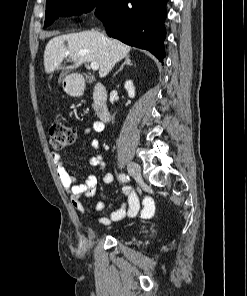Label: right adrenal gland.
<instances>
[{
    "mask_svg": "<svg viewBox=\"0 0 247 296\" xmlns=\"http://www.w3.org/2000/svg\"><path fill=\"white\" fill-rule=\"evenodd\" d=\"M125 65H129V66H132V65H133V64L131 63V60H130V56H129V55H127V56L125 57V61H124V63L121 65L120 69L114 74V77H115L120 71L123 70V68H124Z\"/></svg>",
    "mask_w": 247,
    "mask_h": 296,
    "instance_id": "right-adrenal-gland-1",
    "label": "right adrenal gland"
}]
</instances>
